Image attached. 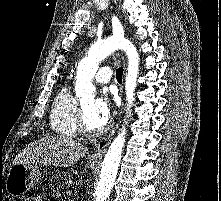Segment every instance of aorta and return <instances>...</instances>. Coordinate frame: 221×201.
<instances>
[{
  "instance_id": "obj_1",
  "label": "aorta",
  "mask_w": 221,
  "mask_h": 201,
  "mask_svg": "<svg viewBox=\"0 0 221 201\" xmlns=\"http://www.w3.org/2000/svg\"><path fill=\"white\" fill-rule=\"evenodd\" d=\"M117 49L124 50L128 57L125 90L127 100L126 117H130V108L134 101V92L137 85L139 54L136 47L122 36L108 37L105 40L96 42L90 47L88 56L78 65L75 91L78 97H84L91 93L94 90L92 79L99 68L100 61ZM124 123L121 131L110 144L104 157L99 182L95 191V201H106L113 188L125 143V125L128 123L126 119H124Z\"/></svg>"
}]
</instances>
